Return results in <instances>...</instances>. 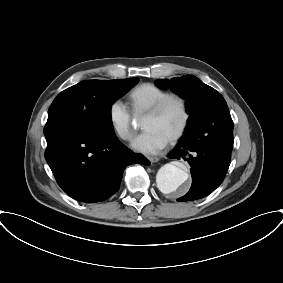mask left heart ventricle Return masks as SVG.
Segmentation results:
<instances>
[{"label":"left heart ventricle","instance_id":"b2bd125f","mask_svg":"<svg viewBox=\"0 0 283 283\" xmlns=\"http://www.w3.org/2000/svg\"><path fill=\"white\" fill-rule=\"evenodd\" d=\"M182 110L177 102L169 103L157 116L145 117L143 127L145 130H154L169 139L180 127Z\"/></svg>","mask_w":283,"mask_h":283}]
</instances>
